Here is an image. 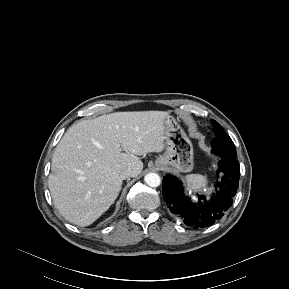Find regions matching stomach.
I'll list each match as a JSON object with an SVG mask.
<instances>
[{
  "label": "stomach",
  "instance_id": "stomach-1",
  "mask_svg": "<svg viewBox=\"0 0 289 289\" xmlns=\"http://www.w3.org/2000/svg\"><path fill=\"white\" fill-rule=\"evenodd\" d=\"M165 153L160 155L155 166L159 169L171 168L176 172H189L193 169V146L177 120L168 115L165 119Z\"/></svg>",
  "mask_w": 289,
  "mask_h": 289
}]
</instances>
